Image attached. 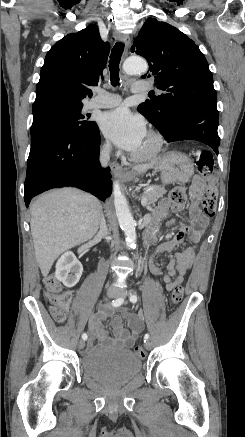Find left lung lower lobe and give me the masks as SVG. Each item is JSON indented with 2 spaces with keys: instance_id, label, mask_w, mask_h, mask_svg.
<instances>
[{
  "instance_id": "left-lung-lower-lobe-1",
  "label": "left lung lower lobe",
  "mask_w": 245,
  "mask_h": 437,
  "mask_svg": "<svg viewBox=\"0 0 245 437\" xmlns=\"http://www.w3.org/2000/svg\"><path fill=\"white\" fill-rule=\"evenodd\" d=\"M217 127V117L198 108L186 107L172 115L169 131L162 135L167 142L200 141L210 146L218 154L220 138Z\"/></svg>"
}]
</instances>
